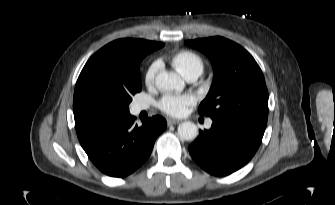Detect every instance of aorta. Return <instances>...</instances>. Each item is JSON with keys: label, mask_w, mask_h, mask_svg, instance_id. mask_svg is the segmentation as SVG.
Wrapping results in <instances>:
<instances>
[{"label": "aorta", "mask_w": 335, "mask_h": 205, "mask_svg": "<svg viewBox=\"0 0 335 205\" xmlns=\"http://www.w3.org/2000/svg\"><path fill=\"white\" fill-rule=\"evenodd\" d=\"M155 84L163 91L182 90L185 86L184 81L176 73L168 71L160 72L156 76ZM178 135L186 141L194 140L198 135V128L193 122H183L178 126Z\"/></svg>", "instance_id": "aorta-1"}]
</instances>
